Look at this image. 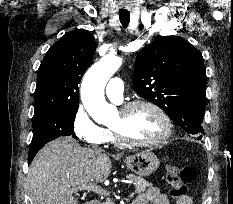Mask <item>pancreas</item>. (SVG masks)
<instances>
[{
  "label": "pancreas",
  "mask_w": 233,
  "mask_h": 204,
  "mask_svg": "<svg viewBox=\"0 0 233 204\" xmlns=\"http://www.w3.org/2000/svg\"><path fill=\"white\" fill-rule=\"evenodd\" d=\"M126 178L134 182L135 193L140 194L146 191L148 187H151L152 184L146 181L144 178L129 174ZM107 204H114L113 202H108Z\"/></svg>",
  "instance_id": "1"
}]
</instances>
